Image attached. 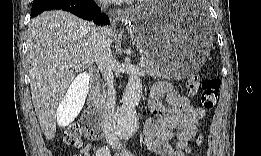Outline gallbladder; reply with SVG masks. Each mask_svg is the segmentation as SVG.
Listing matches in <instances>:
<instances>
[{
    "instance_id": "1",
    "label": "gallbladder",
    "mask_w": 261,
    "mask_h": 156,
    "mask_svg": "<svg viewBox=\"0 0 261 156\" xmlns=\"http://www.w3.org/2000/svg\"><path fill=\"white\" fill-rule=\"evenodd\" d=\"M90 74L81 73L73 80V84L70 85V88L65 92L66 95H63L65 100L60 102L59 106L56 107L59 110H56V120L58 127H68V124L73 122L77 117V114L80 113L84 102H86V97L90 89Z\"/></svg>"
}]
</instances>
